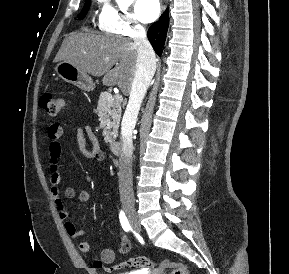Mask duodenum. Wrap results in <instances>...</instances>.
<instances>
[{"mask_svg": "<svg viewBox=\"0 0 289 274\" xmlns=\"http://www.w3.org/2000/svg\"><path fill=\"white\" fill-rule=\"evenodd\" d=\"M109 146H110L111 151L114 154H116V155L120 154V152H121V143L119 141H111Z\"/></svg>", "mask_w": 289, "mask_h": 274, "instance_id": "duodenum-1", "label": "duodenum"}]
</instances>
